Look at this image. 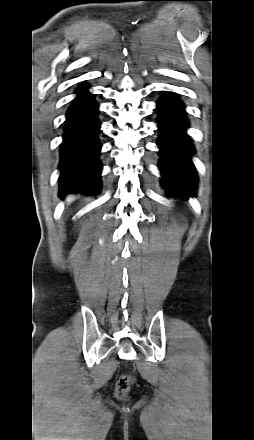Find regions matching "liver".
Instances as JSON below:
<instances>
[{
  "mask_svg": "<svg viewBox=\"0 0 254 440\" xmlns=\"http://www.w3.org/2000/svg\"><path fill=\"white\" fill-rule=\"evenodd\" d=\"M73 199V197L72 196H69V197H67V202H70L71 200Z\"/></svg>",
  "mask_w": 254,
  "mask_h": 440,
  "instance_id": "6515ba94",
  "label": "liver"
}]
</instances>
